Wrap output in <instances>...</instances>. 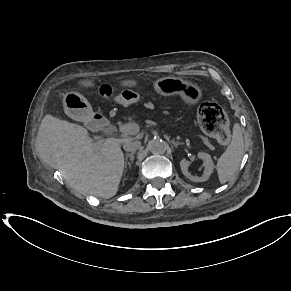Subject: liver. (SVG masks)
<instances>
[{
	"label": "liver",
	"mask_w": 291,
	"mask_h": 291,
	"mask_svg": "<svg viewBox=\"0 0 291 291\" xmlns=\"http://www.w3.org/2000/svg\"><path fill=\"white\" fill-rule=\"evenodd\" d=\"M132 139L94 142L86 128L46 115L36 148L41 158L53 164L80 194L109 199L116 195L124 171L121 144Z\"/></svg>",
	"instance_id": "liver-1"
}]
</instances>
